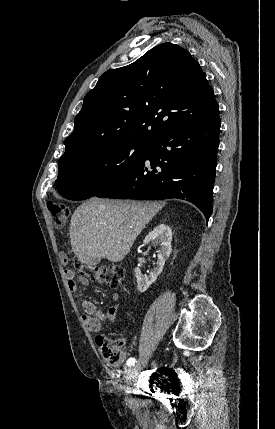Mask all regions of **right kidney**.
Returning <instances> with one entry per match:
<instances>
[{
	"instance_id": "ca27d5eb",
	"label": "right kidney",
	"mask_w": 275,
	"mask_h": 429,
	"mask_svg": "<svg viewBox=\"0 0 275 429\" xmlns=\"http://www.w3.org/2000/svg\"><path fill=\"white\" fill-rule=\"evenodd\" d=\"M171 241L172 230L165 224H159L145 237L144 244H159V250L156 267L151 270L149 275H142L139 268H135L134 270L139 292H145L162 272L165 261L172 251Z\"/></svg>"
}]
</instances>
